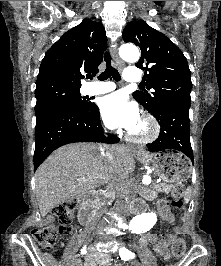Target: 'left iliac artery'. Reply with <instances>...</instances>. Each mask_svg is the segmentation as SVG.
Listing matches in <instances>:
<instances>
[{
  "mask_svg": "<svg viewBox=\"0 0 221 266\" xmlns=\"http://www.w3.org/2000/svg\"><path fill=\"white\" fill-rule=\"evenodd\" d=\"M119 254H120L121 259H123V260H128L130 258L135 257L134 253H132L131 251H129L128 249H126L124 247L119 250Z\"/></svg>",
  "mask_w": 221,
  "mask_h": 266,
  "instance_id": "44dca946",
  "label": "left iliac artery"
}]
</instances>
